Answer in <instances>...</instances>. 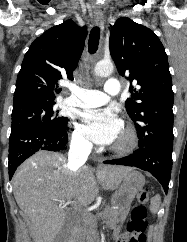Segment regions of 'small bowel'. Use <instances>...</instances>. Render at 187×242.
I'll list each match as a JSON object with an SVG mask.
<instances>
[{
    "mask_svg": "<svg viewBox=\"0 0 187 242\" xmlns=\"http://www.w3.org/2000/svg\"><path fill=\"white\" fill-rule=\"evenodd\" d=\"M127 235H128V233H127V234H124V235L121 237V239L124 238V237H126Z\"/></svg>",
    "mask_w": 187,
    "mask_h": 242,
    "instance_id": "1",
    "label": "small bowel"
}]
</instances>
